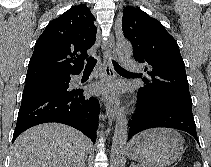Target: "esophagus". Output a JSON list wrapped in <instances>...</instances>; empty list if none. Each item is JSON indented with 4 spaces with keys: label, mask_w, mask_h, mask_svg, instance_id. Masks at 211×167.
I'll list each match as a JSON object with an SVG mask.
<instances>
[{
    "label": "esophagus",
    "mask_w": 211,
    "mask_h": 167,
    "mask_svg": "<svg viewBox=\"0 0 211 167\" xmlns=\"http://www.w3.org/2000/svg\"><path fill=\"white\" fill-rule=\"evenodd\" d=\"M116 49H115V43L113 40V37H110L108 43H107V51L104 55V73H103V96H104V102L106 106V113L107 116L110 119H115L118 115V105L115 97L113 94L109 91V84L110 82L115 78L116 74L112 66V60L116 59Z\"/></svg>",
    "instance_id": "obj_1"
}]
</instances>
